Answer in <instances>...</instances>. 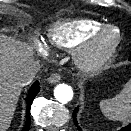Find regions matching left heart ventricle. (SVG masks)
Segmentation results:
<instances>
[{
	"mask_svg": "<svg viewBox=\"0 0 131 131\" xmlns=\"http://www.w3.org/2000/svg\"><path fill=\"white\" fill-rule=\"evenodd\" d=\"M114 38H115L114 32H108L107 34H105V36L101 40V47L102 48L108 47L112 43Z\"/></svg>",
	"mask_w": 131,
	"mask_h": 131,
	"instance_id": "left-heart-ventricle-1",
	"label": "left heart ventricle"
}]
</instances>
